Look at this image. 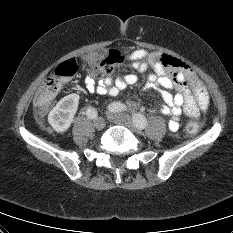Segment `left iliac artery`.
I'll list each match as a JSON object with an SVG mask.
<instances>
[{
    "label": "left iliac artery",
    "mask_w": 233,
    "mask_h": 233,
    "mask_svg": "<svg viewBox=\"0 0 233 233\" xmlns=\"http://www.w3.org/2000/svg\"><path fill=\"white\" fill-rule=\"evenodd\" d=\"M109 109L112 112H121V111L126 110V107L123 104L114 103L110 105ZM133 122L135 123L136 127H138L139 129H144L147 126V120L141 114H134Z\"/></svg>",
    "instance_id": "left-iliac-artery-1"
}]
</instances>
